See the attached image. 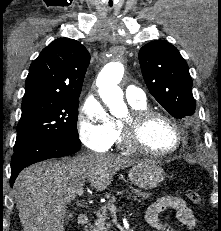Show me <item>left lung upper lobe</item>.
<instances>
[{
	"label": "left lung upper lobe",
	"instance_id": "obj_1",
	"mask_svg": "<svg viewBox=\"0 0 221 231\" xmlns=\"http://www.w3.org/2000/svg\"><path fill=\"white\" fill-rule=\"evenodd\" d=\"M139 61L149 91L174 118L194 114L192 79L176 47L163 40L149 42L140 49Z\"/></svg>",
	"mask_w": 221,
	"mask_h": 231
}]
</instances>
